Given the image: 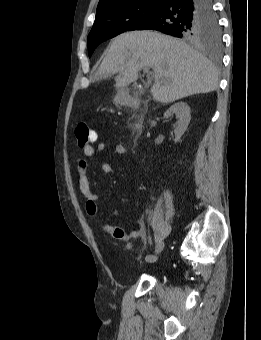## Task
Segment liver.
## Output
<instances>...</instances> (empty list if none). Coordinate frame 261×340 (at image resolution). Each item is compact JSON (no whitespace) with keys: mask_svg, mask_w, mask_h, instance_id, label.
Returning a JSON list of instances; mask_svg holds the SVG:
<instances>
[{"mask_svg":"<svg viewBox=\"0 0 261 340\" xmlns=\"http://www.w3.org/2000/svg\"><path fill=\"white\" fill-rule=\"evenodd\" d=\"M143 67L153 69L151 93L161 103L209 93L218 87L217 70L204 55L179 39L153 31H132L115 37L97 76L118 74L115 86L123 90L138 79Z\"/></svg>","mask_w":261,"mask_h":340,"instance_id":"6515ba94","label":"liver"}]
</instances>
